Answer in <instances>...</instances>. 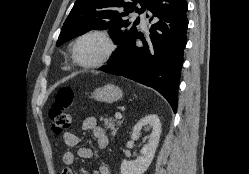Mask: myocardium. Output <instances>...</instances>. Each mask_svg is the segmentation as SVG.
<instances>
[{
    "instance_id": "1",
    "label": "myocardium",
    "mask_w": 249,
    "mask_h": 174,
    "mask_svg": "<svg viewBox=\"0 0 249 174\" xmlns=\"http://www.w3.org/2000/svg\"><path fill=\"white\" fill-rule=\"evenodd\" d=\"M90 36H98L102 38L106 44V51L104 55L97 61H94L91 63H84L78 57L77 48H78L79 43L83 39L90 37ZM116 47L117 46L112 35L106 29L94 28V29H90L84 32L75 40L72 46V57H73L74 62L82 68H87V69L98 68L104 65L105 63H107L113 57L116 51Z\"/></svg>"
}]
</instances>
